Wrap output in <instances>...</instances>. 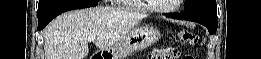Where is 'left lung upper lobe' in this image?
Segmentation results:
<instances>
[{
	"label": "left lung upper lobe",
	"mask_w": 261,
	"mask_h": 59,
	"mask_svg": "<svg viewBox=\"0 0 261 59\" xmlns=\"http://www.w3.org/2000/svg\"><path fill=\"white\" fill-rule=\"evenodd\" d=\"M185 10H202L217 13L216 0H186Z\"/></svg>",
	"instance_id": "5c2ea615"
}]
</instances>
